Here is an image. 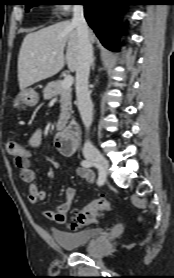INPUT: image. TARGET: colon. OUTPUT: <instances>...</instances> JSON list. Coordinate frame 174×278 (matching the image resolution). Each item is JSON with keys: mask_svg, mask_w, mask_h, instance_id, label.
<instances>
[{"mask_svg": "<svg viewBox=\"0 0 174 278\" xmlns=\"http://www.w3.org/2000/svg\"><path fill=\"white\" fill-rule=\"evenodd\" d=\"M7 151L15 158L31 157L32 153L24 146L15 142H8L6 145ZM109 209V203L104 198L94 199L87 205L75 209L70 220V227L77 228L94 222L101 217Z\"/></svg>", "mask_w": 174, "mask_h": 278, "instance_id": "5ec220e1", "label": "colon"}]
</instances>
